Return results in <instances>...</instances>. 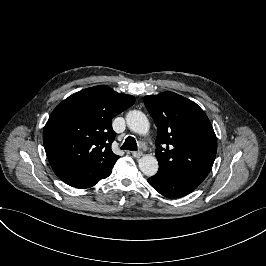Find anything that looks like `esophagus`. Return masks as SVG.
I'll return each instance as SVG.
<instances>
[{"label":"esophagus","instance_id":"34e87169","mask_svg":"<svg viewBox=\"0 0 266 266\" xmlns=\"http://www.w3.org/2000/svg\"><path fill=\"white\" fill-rule=\"evenodd\" d=\"M142 155H143L142 151L132 152V156L135 158H140Z\"/></svg>","mask_w":266,"mask_h":266}]
</instances>
